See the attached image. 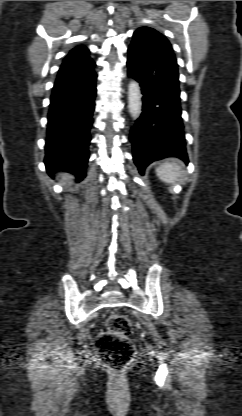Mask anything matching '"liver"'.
<instances>
[{"mask_svg":"<svg viewBox=\"0 0 242 416\" xmlns=\"http://www.w3.org/2000/svg\"><path fill=\"white\" fill-rule=\"evenodd\" d=\"M63 179L67 180V175L63 174Z\"/></svg>","mask_w":242,"mask_h":416,"instance_id":"liver-1","label":"liver"}]
</instances>
